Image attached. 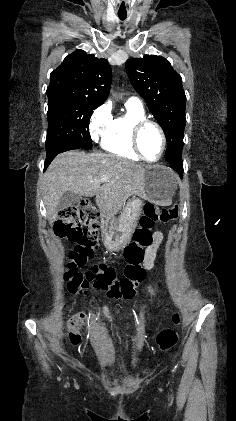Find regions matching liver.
Masks as SVG:
<instances>
[{"label": "liver", "instance_id": "obj_1", "mask_svg": "<svg viewBox=\"0 0 236 421\" xmlns=\"http://www.w3.org/2000/svg\"><path fill=\"white\" fill-rule=\"evenodd\" d=\"M145 168L126 158L67 150L57 154L44 174L43 200L49 225L57 219V204L64 192L72 190L83 196H94L105 217L118 215L131 194L146 198ZM109 180L102 182V176Z\"/></svg>", "mask_w": 236, "mask_h": 421}]
</instances>
